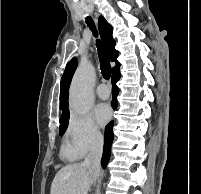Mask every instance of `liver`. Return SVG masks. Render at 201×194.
Returning a JSON list of instances; mask_svg holds the SVG:
<instances>
[{
	"label": "liver",
	"mask_w": 201,
	"mask_h": 194,
	"mask_svg": "<svg viewBox=\"0 0 201 194\" xmlns=\"http://www.w3.org/2000/svg\"><path fill=\"white\" fill-rule=\"evenodd\" d=\"M93 183V174L84 163L62 167L51 184L50 194H87Z\"/></svg>",
	"instance_id": "1"
}]
</instances>
